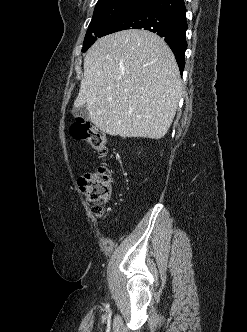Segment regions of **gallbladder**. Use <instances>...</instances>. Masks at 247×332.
Wrapping results in <instances>:
<instances>
[{"label":"gallbladder","mask_w":247,"mask_h":332,"mask_svg":"<svg viewBox=\"0 0 247 332\" xmlns=\"http://www.w3.org/2000/svg\"><path fill=\"white\" fill-rule=\"evenodd\" d=\"M72 114L74 116H82L84 118H88L89 117V113H88V109L86 107V105H82L79 107H74L72 110Z\"/></svg>","instance_id":"gallbladder-1"}]
</instances>
